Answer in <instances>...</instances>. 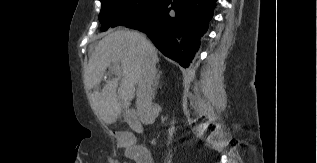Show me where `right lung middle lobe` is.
Listing matches in <instances>:
<instances>
[{"mask_svg":"<svg viewBox=\"0 0 317 163\" xmlns=\"http://www.w3.org/2000/svg\"><path fill=\"white\" fill-rule=\"evenodd\" d=\"M163 0H100L99 20L106 31L110 27L127 25L150 14Z\"/></svg>","mask_w":317,"mask_h":163,"instance_id":"1","label":"right lung middle lobe"}]
</instances>
